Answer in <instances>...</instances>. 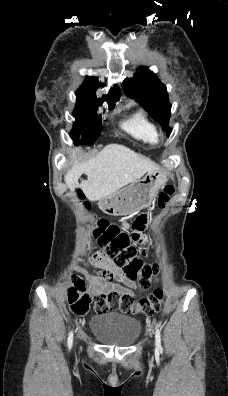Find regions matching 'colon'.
Returning a JSON list of instances; mask_svg holds the SVG:
<instances>
[{"instance_id":"obj_1","label":"colon","mask_w":228,"mask_h":396,"mask_svg":"<svg viewBox=\"0 0 228 396\" xmlns=\"http://www.w3.org/2000/svg\"><path fill=\"white\" fill-rule=\"evenodd\" d=\"M174 193V186L167 185L159 194V207L163 208ZM80 198L84 199V196L80 194ZM84 207L87 209L89 205L84 203ZM147 221L148 214L139 215L132 224L131 235L127 234L119 226L111 224L104 219L98 220V226L93 230L94 238L104 248L103 251L92 254L94 260H97L96 254L99 253L102 258L111 260L114 265L122 268L129 280L138 281L139 285L144 289L149 287L151 278L156 272V266L154 264L144 262L142 256L145 254V251L143 249L139 251L137 248L138 245L143 243L140 233L144 230ZM67 295L68 302L76 314L84 315L88 311L91 297L87 293L86 283L83 279L73 277L72 285L68 289ZM163 296L162 289L154 290L151 295L137 302L134 301L132 295L129 293L122 295L117 293L107 295L98 294L94 298V306L100 312L110 309H120L124 312H143L150 316L161 309Z\"/></svg>"}]
</instances>
